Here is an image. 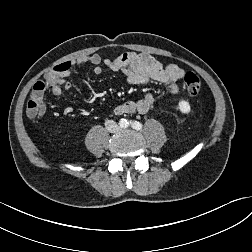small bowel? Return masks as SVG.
Returning <instances> with one entry per match:
<instances>
[{
	"label": "small bowel",
	"mask_w": 252,
	"mask_h": 252,
	"mask_svg": "<svg viewBox=\"0 0 252 252\" xmlns=\"http://www.w3.org/2000/svg\"><path fill=\"white\" fill-rule=\"evenodd\" d=\"M89 63L93 67L95 74L102 73V64L112 71H121L127 82L141 85L150 82H158L166 85L172 94L179 92L178 81L183 76V70L176 64L164 65L148 54L126 52L114 59H102L98 54H89L68 61L62 65L65 70L61 73L59 80L50 85L51 93L54 97H59L63 90L69 91L72 84L65 79L70 74L73 65ZM154 97L147 93L138 101H127L115 108L116 114H130L138 112L147 114L153 107Z\"/></svg>",
	"instance_id": "obj_1"
}]
</instances>
